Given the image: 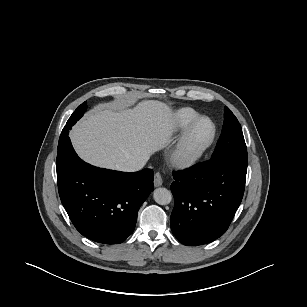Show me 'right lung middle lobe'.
Here are the masks:
<instances>
[{"label":"right lung middle lobe","mask_w":307,"mask_h":307,"mask_svg":"<svg viewBox=\"0 0 307 307\" xmlns=\"http://www.w3.org/2000/svg\"><path fill=\"white\" fill-rule=\"evenodd\" d=\"M86 108H87L86 102H84L71 115V117L67 121V123H66V125H65V127H64V129L61 133L58 147L62 146V143L64 142V137L66 136V134H65L66 131H69L71 129V127L83 116Z\"/></svg>","instance_id":"dd1d6c3e"}]
</instances>
